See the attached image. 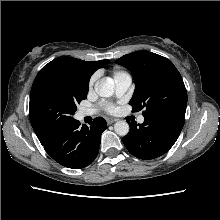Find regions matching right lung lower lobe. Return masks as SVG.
I'll use <instances>...</instances> for the list:
<instances>
[{
    "mask_svg": "<svg viewBox=\"0 0 220 220\" xmlns=\"http://www.w3.org/2000/svg\"><path fill=\"white\" fill-rule=\"evenodd\" d=\"M90 125L80 127V122L74 120L42 145L61 165L73 169L84 168L97 157L101 134L107 127L102 117L95 118Z\"/></svg>",
    "mask_w": 220,
    "mask_h": 220,
    "instance_id": "98d812e1",
    "label": "right lung lower lobe"
}]
</instances>
